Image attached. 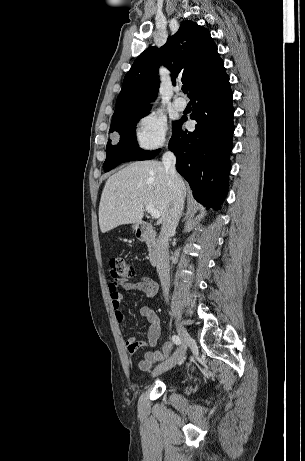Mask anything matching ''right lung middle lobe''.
<instances>
[{"mask_svg":"<svg viewBox=\"0 0 305 461\" xmlns=\"http://www.w3.org/2000/svg\"><path fill=\"white\" fill-rule=\"evenodd\" d=\"M148 113L126 118L110 129L111 133L118 132L120 134V140L117 144H111V140L107 143L106 160L103 165L105 172L113 169L122 162L152 159L159 152V150L144 151L136 143V123ZM176 122H173V127Z\"/></svg>","mask_w":305,"mask_h":461,"instance_id":"obj_1","label":"right lung middle lobe"}]
</instances>
